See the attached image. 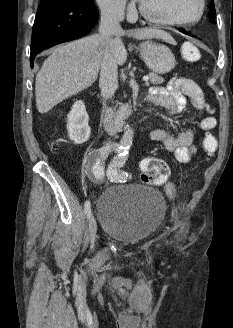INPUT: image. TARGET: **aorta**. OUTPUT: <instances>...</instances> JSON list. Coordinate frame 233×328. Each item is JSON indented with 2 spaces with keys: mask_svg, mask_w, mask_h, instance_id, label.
Segmentation results:
<instances>
[{
  "mask_svg": "<svg viewBox=\"0 0 233 328\" xmlns=\"http://www.w3.org/2000/svg\"><path fill=\"white\" fill-rule=\"evenodd\" d=\"M133 141V130L128 125L125 127L123 137L121 139V145L125 148H128Z\"/></svg>",
  "mask_w": 233,
  "mask_h": 328,
  "instance_id": "762f6f07",
  "label": "aorta"
}]
</instances>
